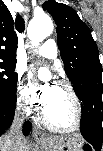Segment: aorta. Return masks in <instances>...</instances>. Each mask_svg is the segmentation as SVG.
<instances>
[{
	"label": "aorta",
	"mask_w": 103,
	"mask_h": 151,
	"mask_svg": "<svg viewBox=\"0 0 103 151\" xmlns=\"http://www.w3.org/2000/svg\"><path fill=\"white\" fill-rule=\"evenodd\" d=\"M53 31V23L47 14L34 17L28 24L27 35L33 46L39 45Z\"/></svg>",
	"instance_id": "762f6f07"
}]
</instances>
